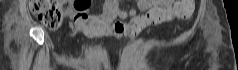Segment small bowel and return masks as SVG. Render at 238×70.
Here are the masks:
<instances>
[{"instance_id":"small-bowel-1","label":"small bowel","mask_w":238,"mask_h":70,"mask_svg":"<svg viewBox=\"0 0 238 70\" xmlns=\"http://www.w3.org/2000/svg\"><path fill=\"white\" fill-rule=\"evenodd\" d=\"M62 6L71 18L70 36L82 33L88 38H99L109 35L111 32L118 38L129 34H136L143 28L171 20L174 17H167L166 13L171 12L178 1L174 0H138L137 9L131 8L128 11L118 7V3L105 4L104 10L99 15H92L88 12L91 1L79 0L78 4L71 6L70 1L62 0ZM142 12V14L138 13ZM130 17V23L112 24L115 19H126Z\"/></svg>"}]
</instances>
